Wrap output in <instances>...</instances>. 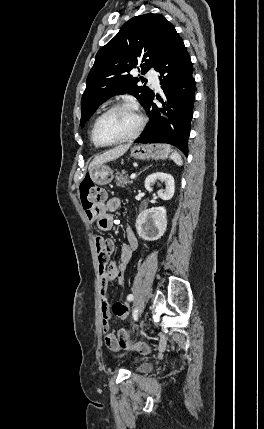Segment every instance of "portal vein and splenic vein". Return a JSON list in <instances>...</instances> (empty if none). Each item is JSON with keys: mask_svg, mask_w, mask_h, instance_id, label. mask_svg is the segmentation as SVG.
Instances as JSON below:
<instances>
[{"mask_svg": "<svg viewBox=\"0 0 264 429\" xmlns=\"http://www.w3.org/2000/svg\"><path fill=\"white\" fill-rule=\"evenodd\" d=\"M135 177H136L135 173H132L131 176H130L131 179H134Z\"/></svg>", "mask_w": 264, "mask_h": 429, "instance_id": "18ae733b", "label": "portal vein and splenic vein"}]
</instances>
